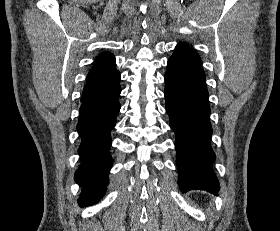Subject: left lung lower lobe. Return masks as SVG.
Masks as SVG:
<instances>
[{
  "instance_id": "1",
  "label": "left lung lower lobe",
  "mask_w": 280,
  "mask_h": 231,
  "mask_svg": "<svg viewBox=\"0 0 280 231\" xmlns=\"http://www.w3.org/2000/svg\"><path fill=\"white\" fill-rule=\"evenodd\" d=\"M166 111L176 135L178 184L182 192L192 189L219 191L212 170L215 154L210 145L212 127L205 74L170 70L165 73Z\"/></svg>"
}]
</instances>
